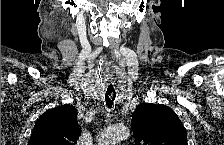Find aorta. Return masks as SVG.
Returning <instances> with one entry per match:
<instances>
[{
    "mask_svg": "<svg viewBox=\"0 0 224 145\" xmlns=\"http://www.w3.org/2000/svg\"><path fill=\"white\" fill-rule=\"evenodd\" d=\"M130 135L129 129L124 125H114L107 127L101 135L102 145H116L126 140Z\"/></svg>",
    "mask_w": 224,
    "mask_h": 145,
    "instance_id": "762f6f07",
    "label": "aorta"
}]
</instances>
